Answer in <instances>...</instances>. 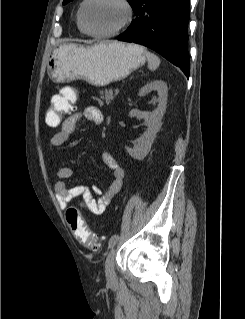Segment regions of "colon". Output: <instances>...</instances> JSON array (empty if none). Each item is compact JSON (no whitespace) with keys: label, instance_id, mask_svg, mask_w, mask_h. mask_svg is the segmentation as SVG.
<instances>
[{"label":"colon","instance_id":"5ec220e1","mask_svg":"<svg viewBox=\"0 0 245 319\" xmlns=\"http://www.w3.org/2000/svg\"><path fill=\"white\" fill-rule=\"evenodd\" d=\"M73 102V91L56 94L50 109L46 113L47 123L53 126L60 125L64 116L71 110ZM66 220L73 235L81 244L93 251L98 250L100 246L99 238L88 229L80 211L76 207L67 209Z\"/></svg>","mask_w":245,"mask_h":319}]
</instances>
